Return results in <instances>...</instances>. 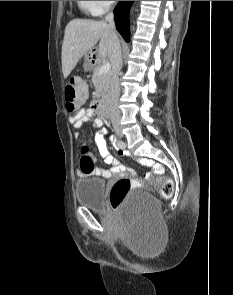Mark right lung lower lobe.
Returning a JSON list of instances; mask_svg holds the SVG:
<instances>
[{"label": "right lung lower lobe", "instance_id": "right-lung-lower-lobe-1", "mask_svg": "<svg viewBox=\"0 0 233 295\" xmlns=\"http://www.w3.org/2000/svg\"><path fill=\"white\" fill-rule=\"evenodd\" d=\"M132 3L133 1H120L114 9L116 28L127 42L130 40L128 13Z\"/></svg>", "mask_w": 233, "mask_h": 295}]
</instances>
